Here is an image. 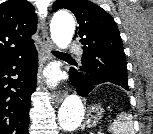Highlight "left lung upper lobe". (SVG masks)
I'll use <instances>...</instances> for the list:
<instances>
[{
	"instance_id": "5c2ea615",
	"label": "left lung upper lobe",
	"mask_w": 153,
	"mask_h": 134,
	"mask_svg": "<svg viewBox=\"0 0 153 134\" xmlns=\"http://www.w3.org/2000/svg\"><path fill=\"white\" fill-rule=\"evenodd\" d=\"M62 8L72 11L79 23L75 37H80L85 51L80 70L128 87L122 40L111 15L88 0H56L53 10Z\"/></svg>"
}]
</instances>
